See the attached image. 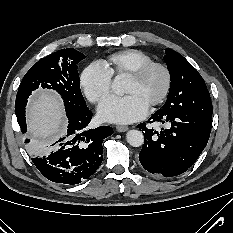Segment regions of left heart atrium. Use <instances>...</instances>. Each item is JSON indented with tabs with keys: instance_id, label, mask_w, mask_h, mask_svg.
Masks as SVG:
<instances>
[{
	"instance_id": "left-heart-atrium-1",
	"label": "left heart atrium",
	"mask_w": 233,
	"mask_h": 233,
	"mask_svg": "<svg viewBox=\"0 0 233 233\" xmlns=\"http://www.w3.org/2000/svg\"><path fill=\"white\" fill-rule=\"evenodd\" d=\"M148 105L135 94L109 96L98 107L102 121L112 123H131L145 117Z\"/></svg>"
}]
</instances>
